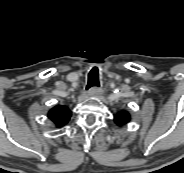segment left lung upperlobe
I'll list each match as a JSON object with an SVG mask.
<instances>
[{
	"label": "left lung upper lobe",
	"mask_w": 184,
	"mask_h": 173,
	"mask_svg": "<svg viewBox=\"0 0 184 173\" xmlns=\"http://www.w3.org/2000/svg\"><path fill=\"white\" fill-rule=\"evenodd\" d=\"M114 121L118 126H125L130 121V114L126 111H121L114 116Z\"/></svg>",
	"instance_id": "obj_1"
}]
</instances>
